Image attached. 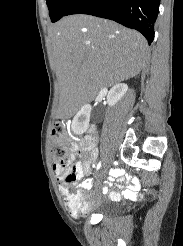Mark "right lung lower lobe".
Masks as SVG:
<instances>
[{
	"label": "right lung lower lobe",
	"instance_id": "1",
	"mask_svg": "<svg viewBox=\"0 0 183 246\" xmlns=\"http://www.w3.org/2000/svg\"><path fill=\"white\" fill-rule=\"evenodd\" d=\"M159 4L160 0H76L65 16L89 14L114 20L139 31L151 44Z\"/></svg>",
	"mask_w": 183,
	"mask_h": 246
}]
</instances>
